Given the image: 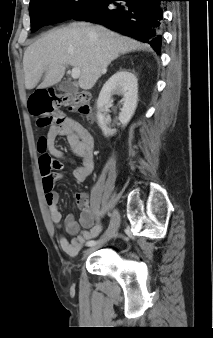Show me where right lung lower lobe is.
I'll return each instance as SVG.
<instances>
[{
	"instance_id": "1",
	"label": "right lung lower lobe",
	"mask_w": 213,
	"mask_h": 338,
	"mask_svg": "<svg viewBox=\"0 0 213 338\" xmlns=\"http://www.w3.org/2000/svg\"><path fill=\"white\" fill-rule=\"evenodd\" d=\"M162 1L170 0H96L72 19L101 24L146 42L159 54L162 40Z\"/></svg>"
}]
</instances>
